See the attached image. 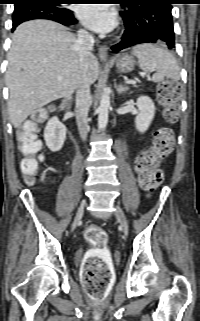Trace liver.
I'll return each instance as SVG.
<instances>
[{"instance_id":"liver-1","label":"liver","mask_w":200,"mask_h":321,"mask_svg":"<svg viewBox=\"0 0 200 321\" xmlns=\"http://www.w3.org/2000/svg\"><path fill=\"white\" fill-rule=\"evenodd\" d=\"M75 42L66 27L53 21L32 20L17 27L6 71L8 110L15 128L37 109L73 94L81 69ZM87 64L86 76L93 84L99 63L92 53Z\"/></svg>"}]
</instances>
